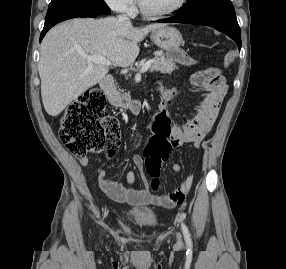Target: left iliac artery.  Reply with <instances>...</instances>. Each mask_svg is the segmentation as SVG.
Returning <instances> with one entry per match:
<instances>
[{
    "label": "left iliac artery",
    "instance_id": "obj_1",
    "mask_svg": "<svg viewBox=\"0 0 286 269\" xmlns=\"http://www.w3.org/2000/svg\"><path fill=\"white\" fill-rule=\"evenodd\" d=\"M182 231H183V234H184V237H185L186 244L188 246H192V240H191V236H190L189 230H188L187 226L184 223H182Z\"/></svg>",
    "mask_w": 286,
    "mask_h": 269
}]
</instances>
